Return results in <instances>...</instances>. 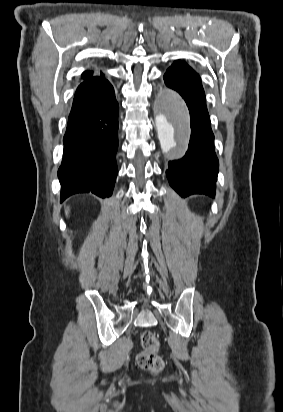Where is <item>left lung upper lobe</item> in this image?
<instances>
[{
    "label": "left lung upper lobe",
    "instance_id": "5c2ea615",
    "mask_svg": "<svg viewBox=\"0 0 283 412\" xmlns=\"http://www.w3.org/2000/svg\"><path fill=\"white\" fill-rule=\"evenodd\" d=\"M176 71H184V72H195L191 67H189L183 61H176L168 70L167 72H176Z\"/></svg>",
    "mask_w": 283,
    "mask_h": 412
}]
</instances>
